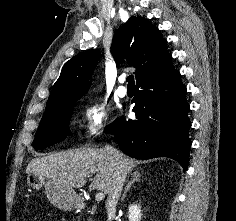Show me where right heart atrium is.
Here are the masks:
<instances>
[{
  "label": "right heart atrium",
  "mask_w": 236,
  "mask_h": 221,
  "mask_svg": "<svg viewBox=\"0 0 236 221\" xmlns=\"http://www.w3.org/2000/svg\"><path fill=\"white\" fill-rule=\"evenodd\" d=\"M109 123V109L99 100L88 102L84 107L85 133L89 138L101 135Z\"/></svg>",
  "instance_id": "right-heart-atrium-1"
}]
</instances>
